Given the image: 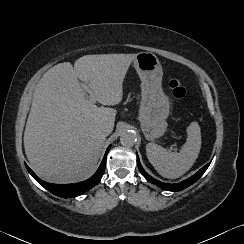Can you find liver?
I'll return each instance as SVG.
<instances>
[{"instance_id": "liver-1", "label": "liver", "mask_w": 244, "mask_h": 244, "mask_svg": "<svg viewBox=\"0 0 244 244\" xmlns=\"http://www.w3.org/2000/svg\"><path fill=\"white\" fill-rule=\"evenodd\" d=\"M136 54L85 55L50 68L36 85L24 132V148L33 171L52 183L87 179L97 167L105 138L99 126L114 127L116 110L85 98L78 79L102 105L123 97V81Z\"/></svg>"}]
</instances>
